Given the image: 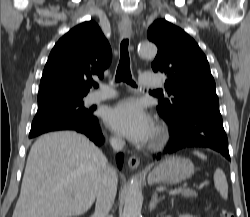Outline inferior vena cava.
<instances>
[{
    "label": "inferior vena cava",
    "instance_id": "1",
    "mask_svg": "<svg viewBox=\"0 0 250 217\" xmlns=\"http://www.w3.org/2000/svg\"><path fill=\"white\" fill-rule=\"evenodd\" d=\"M110 144L115 152H119L125 146V142L120 137L110 139ZM116 171L108 167L101 178L98 188L94 217H110L109 212L113 206L117 192Z\"/></svg>",
    "mask_w": 250,
    "mask_h": 217
}]
</instances>
